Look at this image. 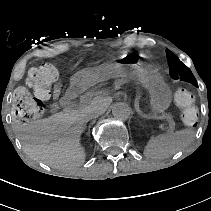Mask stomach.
<instances>
[{"label": "stomach", "mask_w": 211, "mask_h": 211, "mask_svg": "<svg viewBox=\"0 0 211 211\" xmlns=\"http://www.w3.org/2000/svg\"><path fill=\"white\" fill-rule=\"evenodd\" d=\"M109 78H120L125 82L136 80L150 93V104L156 113H163L171 103V90L162 76L155 70L142 65L107 64L99 68L82 70L74 77L76 85L88 87Z\"/></svg>", "instance_id": "1"}]
</instances>
